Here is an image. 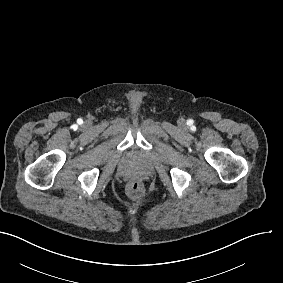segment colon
<instances>
[{"instance_id": "obj_1", "label": "colon", "mask_w": 283, "mask_h": 283, "mask_svg": "<svg viewBox=\"0 0 283 283\" xmlns=\"http://www.w3.org/2000/svg\"><path fill=\"white\" fill-rule=\"evenodd\" d=\"M130 189L133 191V193L136 196H139L141 194L140 187H139V184L137 182L131 183Z\"/></svg>"}]
</instances>
